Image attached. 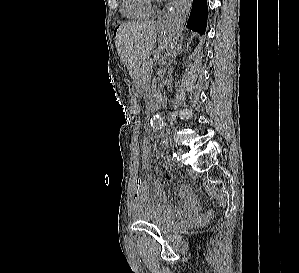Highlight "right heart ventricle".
<instances>
[{
  "mask_svg": "<svg viewBox=\"0 0 299 273\" xmlns=\"http://www.w3.org/2000/svg\"><path fill=\"white\" fill-rule=\"evenodd\" d=\"M122 14L131 20H144L153 15V8L148 0H122Z\"/></svg>",
  "mask_w": 299,
  "mask_h": 273,
  "instance_id": "e07e8e85",
  "label": "right heart ventricle"
}]
</instances>
